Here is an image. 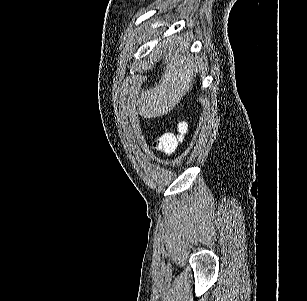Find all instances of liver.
Returning <instances> with one entry per match:
<instances>
[{
    "label": "liver",
    "mask_w": 307,
    "mask_h": 301,
    "mask_svg": "<svg viewBox=\"0 0 307 301\" xmlns=\"http://www.w3.org/2000/svg\"><path fill=\"white\" fill-rule=\"evenodd\" d=\"M159 34H163V30L156 36ZM156 50L162 52V64L165 66H161L159 82H155L147 90H142L140 100H137L138 112L143 118L162 116L170 112L187 92H190L199 72V56H192L189 42H178L174 34L160 40Z\"/></svg>",
    "instance_id": "6515ba94"
}]
</instances>
